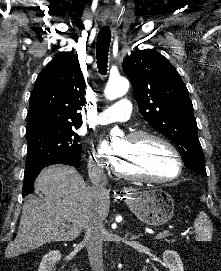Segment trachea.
<instances>
[{
  "label": "trachea",
  "mask_w": 221,
  "mask_h": 271,
  "mask_svg": "<svg viewBox=\"0 0 221 271\" xmlns=\"http://www.w3.org/2000/svg\"><path fill=\"white\" fill-rule=\"evenodd\" d=\"M111 42V31L109 28L104 27L98 33L96 43V57L99 73L106 75L108 63V51Z\"/></svg>",
  "instance_id": "3493384b"
}]
</instances>
